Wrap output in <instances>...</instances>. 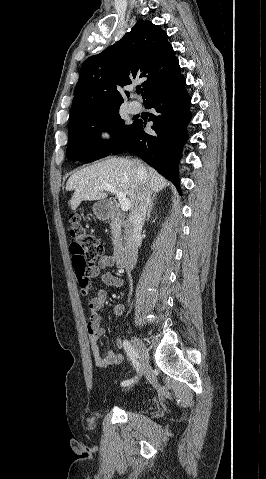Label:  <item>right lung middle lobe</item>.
<instances>
[{"instance_id": "obj_1", "label": "right lung middle lobe", "mask_w": 266, "mask_h": 479, "mask_svg": "<svg viewBox=\"0 0 266 479\" xmlns=\"http://www.w3.org/2000/svg\"><path fill=\"white\" fill-rule=\"evenodd\" d=\"M132 125H125L119 108L70 121L66 151L68 160L90 163L110 155L124 140ZM102 131L111 134L109 142L101 141Z\"/></svg>"}]
</instances>
